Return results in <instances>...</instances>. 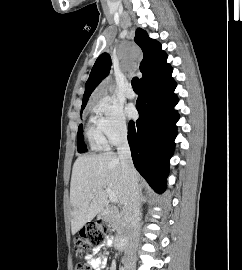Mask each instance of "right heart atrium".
Instances as JSON below:
<instances>
[{
    "label": "right heart atrium",
    "instance_id": "1",
    "mask_svg": "<svg viewBox=\"0 0 242 270\" xmlns=\"http://www.w3.org/2000/svg\"><path fill=\"white\" fill-rule=\"evenodd\" d=\"M94 110L107 145L118 144L127 137V120L122 108L117 103L108 97H101L95 101Z\"/></svg>",
    "mask_w": 242,
    "mask_h": 270
}]
</instances>
